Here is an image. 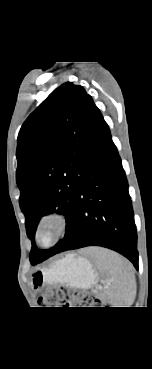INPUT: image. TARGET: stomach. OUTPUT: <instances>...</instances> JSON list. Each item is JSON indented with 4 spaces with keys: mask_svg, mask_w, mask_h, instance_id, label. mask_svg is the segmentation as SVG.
Returning a JSON list of instances; mask_svg holds the SVG:
<instances>
[{
    "mask_svg": "<svg viewBox=\"0 0 152 369\" xmlns=\"http://www.w3.org/2000/svg\"><path fill=\"white\" fill-rule=\"evenodd\" d=\"M98 281V273L85 258L68 255L46 270L32 275V284L37 290L48 284H67L76 288H91Z\"/></svg>",
    "mask_w": 152,
    "mask_h": 369,
    "instance_id": "1",
    "label": "stomach"
}]
</instances>
